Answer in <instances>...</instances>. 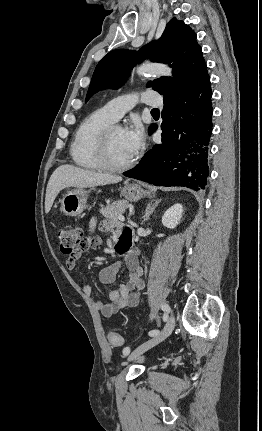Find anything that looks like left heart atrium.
Masks as SVG:
<instances>
[{"label": "left heart atrium", "instance_id": "39dd6f15", "mask_svg": "<svg viewBox=\"0 0 262 431\" xmlns=\"http://www.w3.org/2000/svg\"><path fill=\"white\" fill-rule=\"evenodd\" d=\"M125 141L130 153L135 156L142 149L145 141L144 132L138 123H133L124 130Z\"/></svg>", "mask_w": 262, "mask_h": 431}]
</instances>
